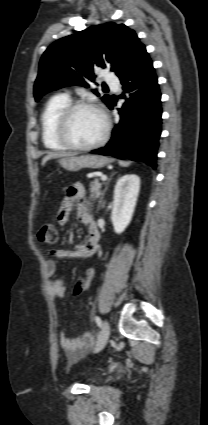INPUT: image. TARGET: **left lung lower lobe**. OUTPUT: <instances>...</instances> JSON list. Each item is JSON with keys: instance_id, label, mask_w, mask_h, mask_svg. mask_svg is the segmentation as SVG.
Segmentation results:
<instances>
[{"instance_id": "obj_1", "label": "left lung lower lobe", "mask_w": 208, "mask_h": 425, "mask_svg": "<svg viewBox=\"0 0 208 425\" xmlns=\"http://www.w3.org/2000/svg\"><path fill=\"white\" fill-rule=\"evenodd\" d=\"M125 98L119 108L120 121L109 143L92 153L119 159L142 161L156 168L161 134V93L153 63L146 52L138 64L120 79ZM114 102L108 105L113 109Z\"/></svg>"}]
</instances>
